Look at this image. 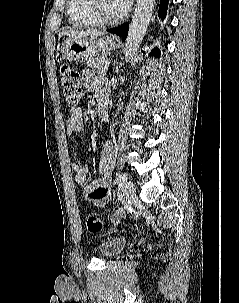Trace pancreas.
Listing matches in <instances>:
<instances>
[{"label":"pancreas","instance_id":"cf45deb5","mask_svg":"<svg viewBox=\"0 0 239 303\" xmlns=\"http://www.w3.org/2000/svg\"><path fill=\"white\" fill-rule=\"evenodd\" d=\"M105 61H108V57L106 55H100L97 58L88 60L86 65L95 72L105 74L107 72V68L104 67Z\"/></svg>","mask_w":239,"mask_h":303}]
</instances>
